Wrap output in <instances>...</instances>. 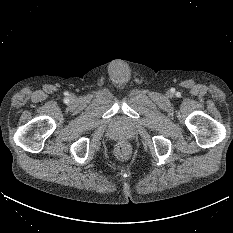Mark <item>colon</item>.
I'll return each mask as SVG.
<instances>
[{
  "label": "colon",
  "mask_w": 233,
  "mask_h": 233,
  "mask_svg": "<svg viewBox=\"0 0 233 233\" xmlns=\"http://www.w3.org/2000/svg\"><path fill=\"white\" fill-rule=\"evenodd\" d=\"M130 153H131V149L127 142L121 141L117 144L115 148V154L118 159L126 160L129 158Z\"/></svg>",
  "instance_id": "1"
}]
</instances>
